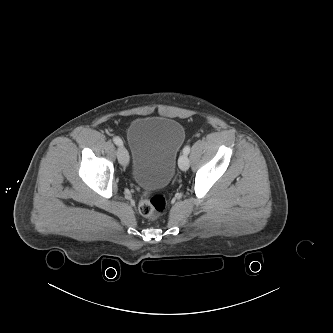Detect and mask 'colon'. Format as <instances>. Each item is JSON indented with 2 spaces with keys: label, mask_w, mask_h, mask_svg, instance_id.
Segmentation results:
<instances>
[{
  "label": "colon",
  "mask_w": 333,
  "mask_h": 333,
  "mask_svg": "<svg viewBox=\"0 0 333 333\" xmlns=\"http://www.w3.org/2000/svg\"><path fill=\"white\" fill-rule=\"evenodd\" d=\"M166 209V199L161 194L144 195L139 202L140 214L149 219L156 220Z\"/></svg>",
  "instance_id": "5ec220e1"
}]
</instances>
